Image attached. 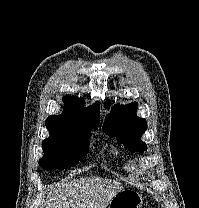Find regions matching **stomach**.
<instances>
[{
  "label": "stomach",
  "instance_id": "1",
  "mask_svg": "<svg viewBox=\"0 0 199 208\" xmlns=\"http://www.w3.org/2000/svg\"><path fill=\"white\" fill-rule=\"evenodd\" d=\"M142 195L133 189H122L110 201L108 208H141Z\"/></svg>",
  "mask_w": 199,
  "mask_h": 208
}]
</instances>
